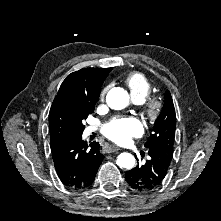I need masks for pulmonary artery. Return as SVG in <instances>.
Listing matches in <instances>:
<instances>
[{"instance_id": "1", "label": "pulmonary artery", "mask_w": 221, "mask_h": 221, "mask_svg": "<svg viewBox=\"0 0 221 221\" xmlns=\"http://www.w3.org/2000/svg\"><path fill=\"white\" fill-rule=\"evenodd\" d=\"M133 101H134V103H136V104H141V103H142V101L139 100V99H133ZM95 129H96V126H92V127L90 128L89 132H90V131H93V130H95Z\"/></svg>"}]
</instances>
